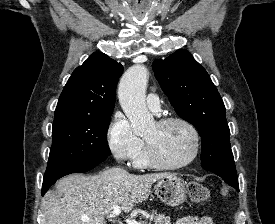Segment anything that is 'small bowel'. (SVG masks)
<instances>
[{
	"label": "small bowel",
	"instance_id": "small-bowel-1",
	"mask_svg": "<svg viewBox=\"0 0 275 224\" xmlns=\"http://www.w3.org/2000/svg\"><path fill=\"white\" fill-rule=\"evenodd\" d=\"M174 224H213V221L209 216H187L177 219Z\"/></svg>",
	"mask_w": 275,
	"mask_h": 224
}]
</instances>
